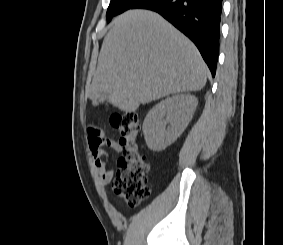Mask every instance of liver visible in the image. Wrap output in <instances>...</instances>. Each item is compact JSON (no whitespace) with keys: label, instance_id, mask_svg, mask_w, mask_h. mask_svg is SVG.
<instances>
[{"label":"liver","instance_id":"obj_1","mask_svg":"<svg viewBox=\"0 0 283 245\" xmlns=\"http://www.w3.org/2000/svg\"><path fill=\"white\" fill-rule=\"evenodd\" d=\"M207 75L196 46L163 17L128 10L103 40L89 97L131 113L170 94L199 91Z\"/></svg>","mask_w":283,"mask_h":245}]
</instances>
